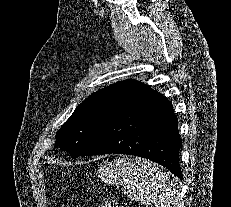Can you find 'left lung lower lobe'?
Returning a JSON list of instances; mask_svg holds the SVG:
<instances>
[{"instance_id": "left-lung-lower-lobe-1", "label": "left lung lower lobe", "mask_w": 231, "mask_h": 207, "mask_svg": "<svg viewBox=\"0 0 231 207\" xmlns=\"http://www.w3.org/2000/svg\"><path fill=\"white\" fill-rule=\"evenodd\" d=\"M181 146L172 103L143 86L106 122L83 156L136 155L163 165L182 180Z\"/></svg>"}]
</instances>
